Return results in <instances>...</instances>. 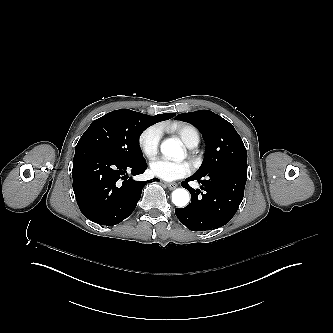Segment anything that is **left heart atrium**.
I'll use <instances>...</instances> for the list:
<instances>
[{"label": "left heart atrium", "instance_id": "39dd6f15", "mask_svg": "<svg viewBox=\"0 0 333 333\" xmlns=\"http://www.w3.org/2000/svg\"><path fill=\"white\" fill-rule=\"evenodd\" d=\"M151 171L157 177L167 181H174L189 176L193 171V166L187 161L170 162L159 160L153 164Z\"/></svg>", "mask_w": 333, "mask_h": 333}]
</instances>
